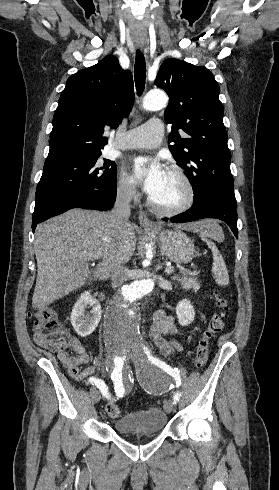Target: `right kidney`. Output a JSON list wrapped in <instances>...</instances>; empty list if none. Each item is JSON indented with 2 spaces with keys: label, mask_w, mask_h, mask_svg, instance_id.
I'll return each mask as SVG.
<instances>
[{
  "label": "right kidney",
  "mask_w": 279,
  "mask_h": 490,
  "mask_svg": "<svg viewBox=\"0 0 279 490\" xmlns=\"http://www.w3.org/2000/svg\"><path fill=\"white\" fill-rule=\"evenodd\" d=\"M87 308H92L90 312L91 316H87ZM101 316L102 310L98 300L92 298L90 292H84V294H81L79 300H77L75 306H73L70 320L78 336L87 338L97 328Z\"/></svg>",
  "instance_id": "obj_1"
}]
</instances>
